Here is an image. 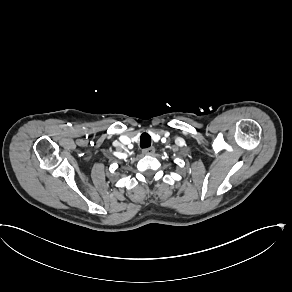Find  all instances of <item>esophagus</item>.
<instances>
[{
	"label": "esophagus",
	"instance_id": "34e87169",
	"mask_svg": "<svg viewBox=\"0 0 292 292\" xmlns=\"http://www.w3.org/2000/svg\"><path fill=\"white\" fill-rule=\"evenodd\" d=\"M142 153L144 155H153L155 153V148L152 146V147H148V148H144L142 150Z\"/></svg>",
	"mask_w": 292,
	"mask_h": 292
}]
</instances>
